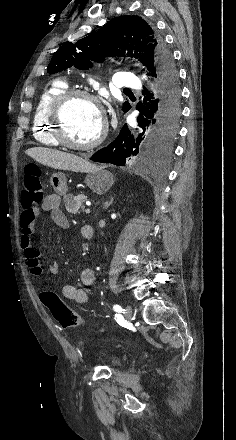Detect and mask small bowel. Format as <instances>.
Returning <instances> with one entry per match:
<instances>
[{"label": "small bowel", "instance_id": "1", "mask_svg": "<svg viewBox=\"0 0 236 440\" xmlns=\"http://www.w3.org/2000/svg\"><path fill=\"white\" fill-rule=\"evenodd\" d=\"M40 211H47L51 215L52 221L61 228L68 226V221L61 209V197L57 194H50L46 196L39 208H31L24 210L20 217V245L27 259L28 266L34 275H41L43 268L40 263V252L34 248L32 238L35 233V220ZM81 235L84 238H92L88 236L85 226L81 229ZM59 266L57 263H52L49 267L50 272L57 273ZM81 282L85 286H90L95 280L94 271L90 268H84L80 274ZM63 295L78 304H86L88 302V292L83 288H78L72 284H65L62 288ZM40 301L45 308L48 309L47 304L43 300L42 292L39 295Z\"/></svg>", "mask_w": 236, "mask_h": 440}]
</instances>
